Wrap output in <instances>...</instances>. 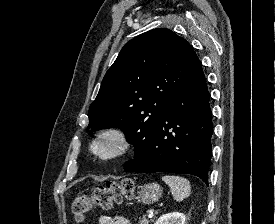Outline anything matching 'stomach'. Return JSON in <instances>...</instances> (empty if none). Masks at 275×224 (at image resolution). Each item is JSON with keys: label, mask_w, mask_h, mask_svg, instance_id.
I'll list each match as a JSON object with an SVG mask.
<instances>
[{"label": "stomach", "mask_w": 275, "mask_h": 224, "mask_svg": "<svg viewBox=\"0 0 275 224\" xmlns=\"http://www.w3.org/2000/svg\"><path fill=\"white\" fill-rule=\"evenodd\" d=\"M141 191L136 197L138 202L152 204L162 196V188L157 183H148L140 186Z\"/></svg>", "instance_id": "1"}]
</instances>
